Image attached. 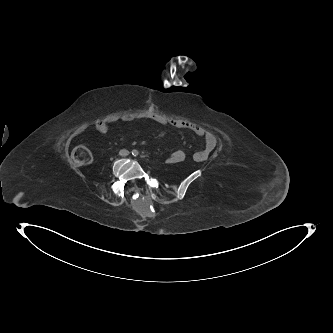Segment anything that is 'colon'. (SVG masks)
<instances>
[{"mask_svg":"<svg viewBox=\"0 0 333 333\" xmlns=\"http://www.w3.org/2000/svg\"><path fill=\"white\" fill-rule=\"evenodd\" d=\"M164 159L167 162L172 160L173 162L185 163L188 157L181 149H178L166 155ZM71 161L76 166L87 165L92 161V154L88 148L77 146L71 154Z\"/></svg>","mask_w":333,"mask_h":333,"instance_id":"colon-1","label":"colon"}]
</instances>
